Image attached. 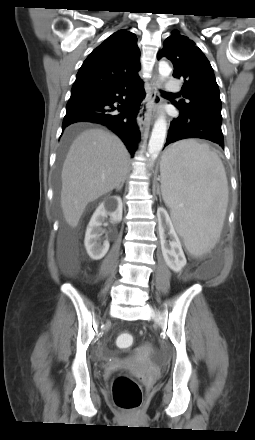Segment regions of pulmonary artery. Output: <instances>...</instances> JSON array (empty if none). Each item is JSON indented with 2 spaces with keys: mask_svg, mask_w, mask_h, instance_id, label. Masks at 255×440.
Segmentation results:
<instances>
[{
  "mask_svg": "<svg viewBox=\"0 0 255 440\" xmlns=\"http://www.w3.org/2000/svg\"><path fill=\"white\" fill-rule=\"evenodd\" d=\"M166 89L169 92H179L180 91V86L177 82L173 81L172 79H169L167 84H166Z\"/></svg>",
  "mask_w": 255,
  "mask_h": 440,
  "instance_id": "e3ab8cb5",
  "label": "pulmonary artery"
}]
</instances>
